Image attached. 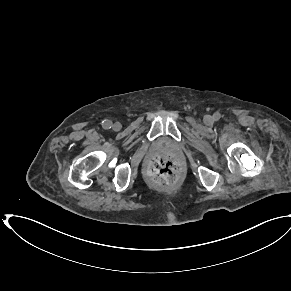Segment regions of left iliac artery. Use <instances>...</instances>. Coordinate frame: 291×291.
<instances>
[{"label":"left iliac artery","mask_w":291,"mask_h":291,"mask_svg":"<svg viewBox=\"0 0 291 291\" xmlns=\"http://www.w3.org/2000/svg\"><path fill=\"white\" fill-rule=\"evenodd\" d=\"M220 118V114H215V119H219Z\"/></svg>","instance_id":"left-iliac-artery-1"}]
</instances>
